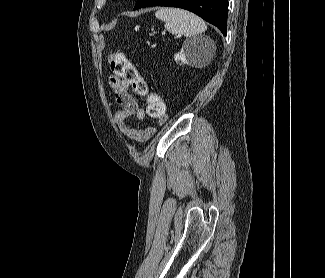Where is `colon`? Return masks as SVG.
<instances>
[{
	"mask_svg": "<svg viewBox=\"0 0 325 278\" xmlns=\"http://www.w3.org/2000/svg\"><path fill=\"white\" fill-rule=\"evenodd\" d=\"M108 62L116 77L128 82L139 94L148 95L147 114L153 118L163 119L165 117L163 100L156 94H148L146 81L127 56L121 51H114L109 55Z\"/></svg>",
	"mask_w": 325,
	"mask_h": 278,
	"instance_id": "colon-1",
	"label": "colon"
}]
</instances>
